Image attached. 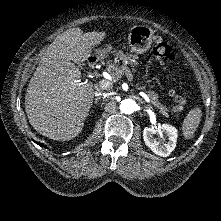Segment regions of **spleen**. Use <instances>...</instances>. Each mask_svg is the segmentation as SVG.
<instances>
[{
    "label": "spleen",
    "mask_w": 221,
    "mask_h": 221,
    "mask_svg": "<svg viewBox=\"0 0 221 221\" xmlns=\"http://www.w3.org/2000/svg\"><path fill=\"white\" fill-rule=\"evenodd\" d=\"M202 111L200 108H193L186 115L183 124L182 132L186 139H189L195 133L200 121H201Z\"/></svg>",
    "instance_id": "1"
}]
</instances>
